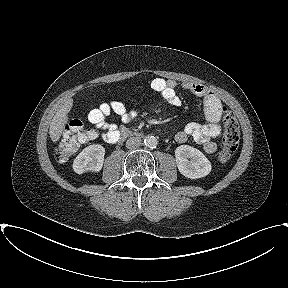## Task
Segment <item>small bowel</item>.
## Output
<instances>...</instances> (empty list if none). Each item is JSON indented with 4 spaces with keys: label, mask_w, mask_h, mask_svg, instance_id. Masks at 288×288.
<instances>
[{
    "label": "small bowel",
    "mask_w": 288,
    "mask_h": 288,
    "mask_svg": "<svg viewBox=\"0 0 288 288\" xmlns=\"http://www.w3.org/2000/svg\"><path fill=\"white\" fill-rule=\"evenodd\" d=\"M150 86L168 104L174 107L181 106L182 99L177 93L178 83L176 81L158 77L151 81ZM181 87L202 100L206 123H188L183 130L175 135V140L178 143H185L189 138H192L203 147L206 153H214L217 145L213 139L221 132V119L226 108L215 93L201 84L182 82ZM137 115V110H127L123 102L112 100L91 110L88 119L96 128L102 131L101 137L105 141L116 143L124 137V133L127 130L108 122V119L113 116H119L123 123H129Z\"/></svg>",
    "instance_id": "small-bowel-1"
}]
</instances>
